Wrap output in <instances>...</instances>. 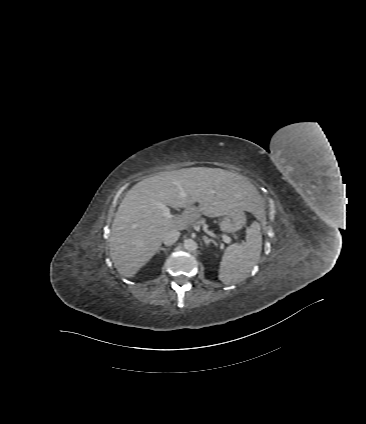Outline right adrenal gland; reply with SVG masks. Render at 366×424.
<instances>
[{"instance_id":"right-adrenal-gland-1","label":"right adrenal gland","mask_w":366,"mask_h":424,"mask_svg":"<svg viewBox=\"0 0 366 424\" xmlns=\"http://www.w3.org/2000/svg\"><path fill=\"white\" fill-rule=\"evenodd\" d=\"M167 248H164V247H159V249L157 250V253H160V251H164V252H167Z\"/></svg>"}]
</instances>
